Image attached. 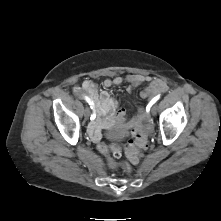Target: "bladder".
<instances>
[{"label":"bladder","instance_id":"31cf9c89","mask_svg":"<svg viewBox=\"0 0 221 221\" xmlns=\"http://www.w3.org/2000/svg\"><path fill=\"white\" fill-rule=\"evenodd\" d=\"M112 136H113V138H116V137H117V135H116V134H113Z\"/></svg>","mask_w":221,"mask_h":221}]
</instances>
